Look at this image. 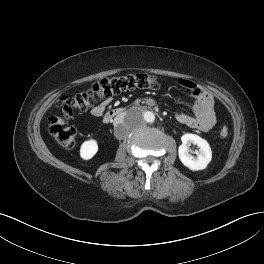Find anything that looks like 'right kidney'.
I'll use <instances>...</instances> for the list:
<instances>
[{"instance_id": "1", "label": "right kidney", "mask_w": 264, "mask_h": 264, "mask_svg": "<svg viewBox=\"0 0 264 264\" xmlns=\"http://www.w3.org/2000/svg\"><path fill=\"white\" fill-rule=\"evenodd\" d=\"M98 151L97 141L94 139L87 140L82 143L80 148V156L83 160L91 159Z\"/></svg>"}]
</instances>
